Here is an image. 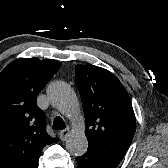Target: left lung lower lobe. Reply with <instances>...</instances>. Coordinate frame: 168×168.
Listing matches in <instances>:
<instances>
[{"instance_id": "0a47b994", "label": "left lung lower lobe", "mask_w": 168, "mask_h": 168, "mask_svg": "<svg viewBox=\"0 0 168 168\" xmlns=\"http://www.w3.org/2000/svg\"><path fill=\"white\" fill-rule=\"evenodd\" d=\"M78 168H116L120 160L88 147L87 153L76 158Z\"/></svg>"}]
</instances>
